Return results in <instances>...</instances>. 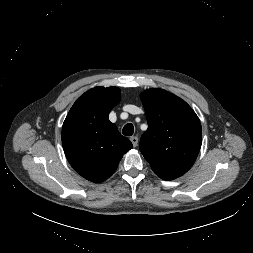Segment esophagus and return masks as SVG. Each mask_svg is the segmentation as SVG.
Instances as JSON below:
<instances>
[{"mask_svg": "<svg viewBox=\"0 0 253 253\" xmlns=\"http://www.w3.org/2000/svg\"><path fill=\"white\" fill-rule=\"evenodd\" d=\"M130 141L132 142L133 146L136 147L138 145V137L132 136L130 138Z\"/></svg>", "mask_w": 253, "mask_h": 253, "instance_id": "1", "label": "esophagus"}]
</instances>
